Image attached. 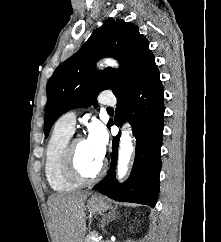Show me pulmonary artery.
I'll list each match as a JSON object with an SVG mask.
<instances>
[{"mask_svg":"<svg viewBox=\"0 0 221 242\" xmlns=\"http://www.w3.org/2000/svg\"><path fill=\"white\" fill-rule=\"evenodd\" d=\"M108 92H105L99 99V102L103 105H110L114 103L113 98H108ZM76 113L75 111H69L65 113L56 123V125L65 131L73 133L75 130Z\"/></svg>","mask_w":221,"mask_h":242,"instance_id":"obj_1","label":"pulmonary artery"}]
</instances>
